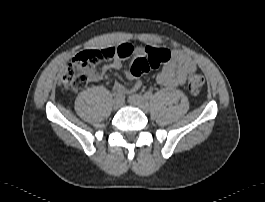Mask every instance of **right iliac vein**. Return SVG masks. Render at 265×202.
I'll return each instance as SVG.
<instances>
[{
	"label": "right iliac vein",
	"mask_w": 265,
	"mask_h": 202,
	"mask_svg": "<svg viewBox=\"0 0 265 202\" xmlns=\"http://www.w3.org/2000/svg\"><path fill=\"white\" fill-rule=\"evenodd\" d=\"M122 106V99L115 98L112 102V107L114 110H118Z\"/></svg>",
	"instance_id": "right-iliac-vein-1"
}]
</instances>
